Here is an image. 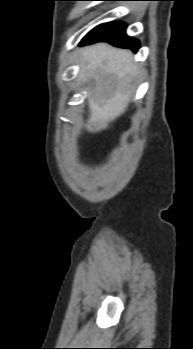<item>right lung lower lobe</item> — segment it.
I'll return each mask as SVG.
<instances>
[{
    "label": "right lung lower lobe",
    "mask_w": 193,
    "mask_h": 349,
    "mask_svg": "<svg viewBox=\"0 0 193 349\" xmlns=\"http://www.w3.org/2000/svg\"><path fill=\"white\" fill-rule=\"evenodd\" d=\"M125 23H104L100 24L82 39L80 45H87L96 42H108L114 46L130 48L137 52L139 48L138 40L127 36Z\"/></svg>",
    "instance_id": "98d812e1"
}]
</instances>
